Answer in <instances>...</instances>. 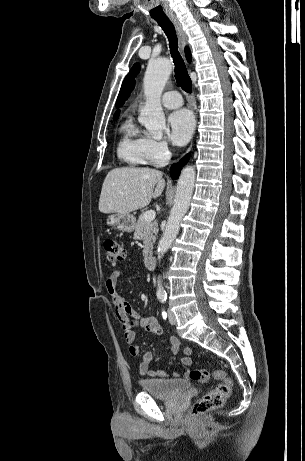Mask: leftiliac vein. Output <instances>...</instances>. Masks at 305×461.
Listing matches in <instances>:
<instances>
[{
	"mask_svg": "<svg viewBox=\"0 0 305 461\" xmlns=\"http://www.w3.org/2000/svg\"><path fill=\"white\" fill-rule=\"evenodd\" d=\"M168 316H169V322H170V324H172V325L176 324L175 315H174V313H173L170 309L168 310Z\"/></svg>",
	"mask_w": 305,
	"mask_h": 461,
	"instance_id": "left-iliac-vein-1",
	"label": "left iliac vein"
}]
</instances>
